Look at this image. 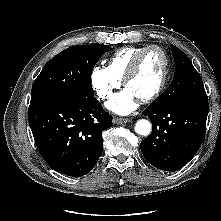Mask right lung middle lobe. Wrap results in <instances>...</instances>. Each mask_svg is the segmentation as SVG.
Returning a JSON list of instances; mask_svg holds the SVG:
<instances>
[{"mask_svg": "<svg viewBox=\"0 0 221 221\" xmlns=\"http://www.w3.org/2000/svg\"><path fill=\"white\" fill-rule=\"evenodd\" d=\"M106 45H79L67 48L53 57L34 81L31 102L69 97H92L93 67L110 51Z\"/></svg>", "mask_w": 221, "mask_h": 221, "instance_id": "1", "label": "right lung middle lobe"}]
</instances>
